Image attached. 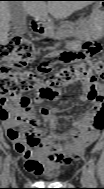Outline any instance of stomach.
I'll return each instance as SVG.
<instances>
[{"label":"stomach","instance_id":"0dacf381","mask_svg":"<svg viewBox=\"0 0 104 189\" xmlns=\"http://www.w3.org/2000/svg\"><path fill=\"white\" fill-rule=\"evenodd\" d=\"M103 20V11H102V3L98 2L94 7V10L87 21H82L79 29H78V36L80 38L85 37L87 34H93L97 32L102 26ZM47 35H55L57 38L62 36L61 32L53 33L52 31L48 30ZM76 41L69 43V46L75 44Z\"/></svg>","mask_w":104,"mask_h":189}]
</instances>
